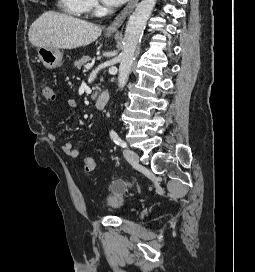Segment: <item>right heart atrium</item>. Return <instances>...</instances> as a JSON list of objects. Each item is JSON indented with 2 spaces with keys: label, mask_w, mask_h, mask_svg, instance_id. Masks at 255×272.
<instances>
[{
  "label": "right heart atrium",
  "mask_w": 255,
  "mask_h": 272,
  "mask_svg": "<svg viewBox=\"0 0 255 272\" xmlns=\"http://www.w3.org/2000/svg\"><path fill=\"white\" fill-rule=\"evenodd\" d=\"M85 11H91L97 7L96 0H83Z\"/></svg>",
  "instance_id": "1"
}]
</instances>
